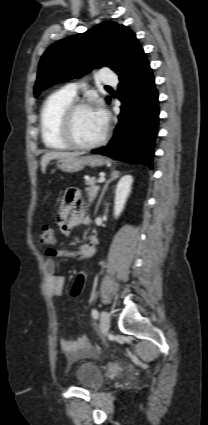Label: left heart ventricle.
Segmentation results:
<instances>
[{"label":"left heart ventricle","mask_w":208,"mask_h":425,"mask_svg":"<svg viewBox=\"0 0 208 425\" xmlns=\"http://www.w3.org/2000/svg\"><path fill=\"white\" fill-rule=\"evenodd\" d=\"M105 125L95 110H80L73 123V134L77 141L89 144L97 141L103 134Z\"/></svg>","instance_id":"left-heart-ventricle-1"}]
</instances>
